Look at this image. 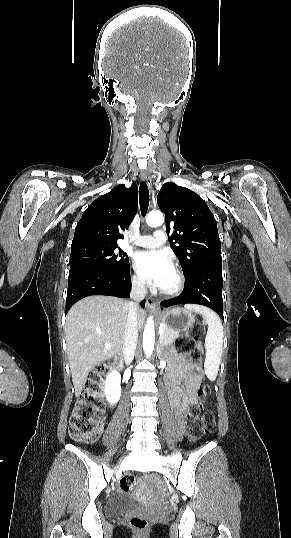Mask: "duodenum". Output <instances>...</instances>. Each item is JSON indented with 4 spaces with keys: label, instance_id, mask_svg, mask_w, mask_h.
<instances>
[{
    "label": "duodenum",
    "instance_id": "410a0bca",
    "mask_svg": "<svg viewBox=\"0 0 291 538\" xmlns=\"http://www.w3.org/2000/svg\"><path fill=\"white\" fill-rule=\"evenodd\" d=\"M121 365H122V356H117V364H113V369H120ZM112 385L117 386V388H120L119 380L118 379H113L112 380Z\"/></svg>",
    "mask_w": 291,
    "mask_h": 538
}]
</instances>
